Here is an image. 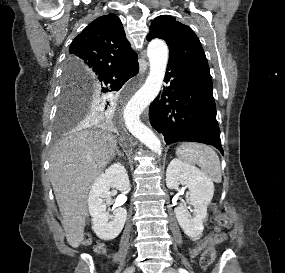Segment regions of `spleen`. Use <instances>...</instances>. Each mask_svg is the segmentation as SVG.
<instances>
[{
  "label": "spleen",
  "mask_w": 285,
  "mask_h": 273,
  "mask_svg": "<svg viewBox=\"0 0 285 273\" xmlns=\"http://www.w3.org/2000/svg\"><path fill=\"white\" fill-rule=\"evenodd\" d=\"M176 154L180 160L188 165L197 164L203 174L211 181L220 183L222 180L220 160L216 152L207 145L185 142L177 149Z\"/></svg>",
  "instance_id": "obj_1"
}]
</instances>
